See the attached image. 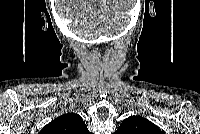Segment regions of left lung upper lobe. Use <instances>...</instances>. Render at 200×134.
<instances>
[{
    "instance_id": "1",
    "label": "left lung upper lobe",
    "mask_w": 200,
    "mask_h": 134,
    "mask_svg": "<svg viewBox=\"0 0 200 134\" xmlns=\"http://www.w3.org/2000/svg\"><path fill=\"white\" fill-rule=\"evenodd\" d=\"M115 134H162V132L146 118L134 115L124 119Z\"/></svg>"
}]
</instances>
